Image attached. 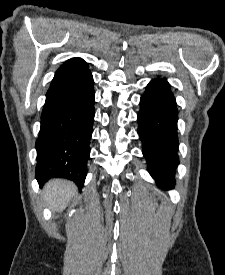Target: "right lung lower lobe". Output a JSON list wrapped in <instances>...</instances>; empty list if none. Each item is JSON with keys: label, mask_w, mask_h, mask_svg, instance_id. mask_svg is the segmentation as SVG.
I'll return each instance as SVG.
<instances>
[{"label": "right lung lower lobe", "mask_w": 225, "mask_h": 275, "mask_svg": "<svg viewBox=\"0 0 225 275\" xmlns=\"http://www.w3.org/2000/svg\"><path fill=\"white\" fill-rule=\"evenodd\" d=\"M93 78L86 83L47 92L36 140V179L66 178L79 188L87 175L94 120Z\"/></svg>", "instance_id": "98d812e1"}]
</instances>
